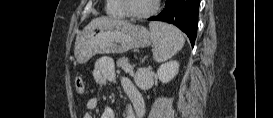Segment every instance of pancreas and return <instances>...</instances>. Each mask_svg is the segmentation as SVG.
Segmentation results:
<instances>
[{"instance_id": "1", "label": "pancreas", "mask_w": 273, "mask_h": 118, "mask_svg": "<svg viewBox=\"0 0 273 118\" xmlns=\"http://www.w3.org/2000/svg\"><path fill=\"white\" fill-rule=\"evenodd\" d=\"M117 66L123 69L126 73L134 74L133 67L129 64L128 59L125 57L118 59Z\"/></svg>"}]
</instances>
